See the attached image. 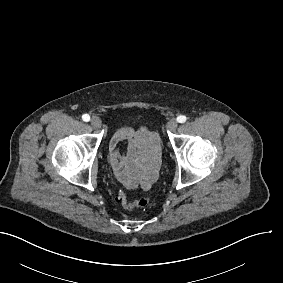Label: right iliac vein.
<instances>
[{
    "instance_id": "right-iliac-vein-1",
    "label": "right iliac vein",
    "mask_w": 283,
    "mask_h": 283,
    "mask_svg": "<svg viewBox=\"0 0 283 283\" xmlns=\"http://www.w3.org/2000/svg\"><path fill=\"white\" fill-rule=\"evenodd\" d=\"M91 125L94 127V128H99V127H101V121H100V119L99 118H97V117H93L92 119H91Z\"/></svg>"
}]
</instances>
